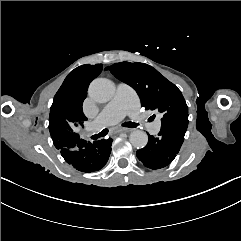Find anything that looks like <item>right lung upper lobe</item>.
<instances>
[{
    "instance_id": "cb5924a9",
    "label": "right lung upper lobe",
    "mask_w": 241,
    "mask_h": 241,
    "mask_svg": "<svg viewBox=\"0 0 241 241\" xmlns=\"http://www.w3.org/2000/svg\"><path fill=\"white\" fill-rule=\"evenodd\" d=\"M102 69V65L100 64ZM88 86L76 85L69 77L54 96L49 115V131L57 149L81 139L76 132L78 126H83L87 120L82 105L87 96Z\"/></svg>"
}]
</instances>
